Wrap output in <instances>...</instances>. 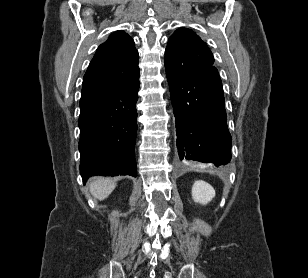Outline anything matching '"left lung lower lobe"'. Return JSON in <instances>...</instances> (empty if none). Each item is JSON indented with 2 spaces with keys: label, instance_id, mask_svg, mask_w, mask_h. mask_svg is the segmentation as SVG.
I'll list each match as a JSON object with an SVG mask.
<instances>
[{
  "label": "left lung lower lobe",
  "instance_id": "obj_1",
  "mask_svg": "<svg viewBox=\"0 0 308 278\" xmlns=\"http://www.w3.org/2000/svg\"><path fill=\"white\" fill-rule=\"evenodd\" d=\"M166 75L180 159L215 166L227 164L231 160L232 138L217 68L210 66L184 74L166 69Z\"/></svg>",
  "mask_w": 308,
  "mask_h": 278
}]
</instances>
